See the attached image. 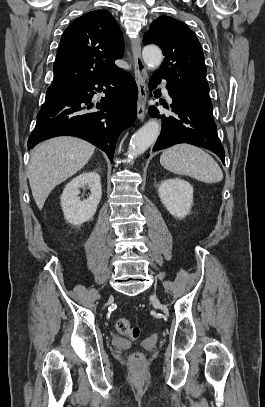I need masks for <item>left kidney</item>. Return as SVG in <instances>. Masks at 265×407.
Listing matches in <instances>:
<instances>
[{"label": "left kidney", "mask_w": 265, "mask_h": 407, "mask_svg": "<svg viewBox=\"0 0 265 407\" xmlns=\"http://www.w3.org/2000/svg\"><path fill=\"white\" fill-rule=\"evenodd\" d=\"M162 204L171 215L182 219L190 212L193 203V187L179 178L163 181L158 190Z\"/></svg>", "instance_id": "5707ae66"}]
</instances>
